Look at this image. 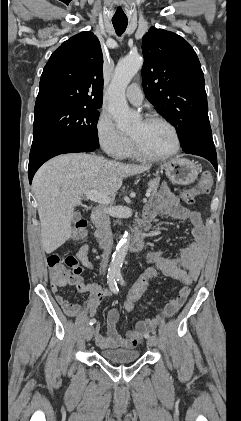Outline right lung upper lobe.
<instances>
[{
    "label": "right lung upper lobe",
    "mask_w": 241,
    "mask_h": 421,
    "mask_svg": "<svg viewBox=\"0 0 241 421\" xmlns=\"http://www.w3.org/2000/svg\"><path fill=\"white\" fill-rule=\"evenodd\" d=\"M103 55L98 38L81 32L55 50L44 67L35 109L51 105L100 107Z\"/></svg>",
    "instance_id": "obj_1"
}]
</instances>
